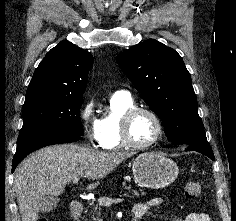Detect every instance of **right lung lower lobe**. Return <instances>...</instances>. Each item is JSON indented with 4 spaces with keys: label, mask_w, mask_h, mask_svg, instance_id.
Masks as SVG:
<instances>
[{
    "label": "right lung lower lobe",
    "mask_w": 236,
    "mask_h": 221,
    "mask_svg": "<svg viewBox=\"0 0 236 221\" xmlns=\"http://www.w3.org/2000/svg\"><path fill=\"white\" fill-rule=\"evenodd\" d=\"M79 139V136L65 133H38L18 139L16 153L12 161V172L25 156L39 148L53 144L75 142Z\"/></svg>",
    "instance_id": "obj_1"
}]
</instances>
